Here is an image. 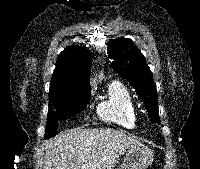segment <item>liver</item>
I'll return each instance as SVG.
<instances>
[{"mask_svg": "<svg viewBox=\"0 0 200 169\" xmlns=\"http://www.w3.org/2000/svg\"><path fill=\"white\" fill-rule=\"evenodd\" d=\"M141 145L110 128L75 129L47 141L44 169H112L125 150Z\"/></svg>", "mask_w": 200, "mask_h": 169, "instance_id": "1", "label": "liver"}]
</instances>
